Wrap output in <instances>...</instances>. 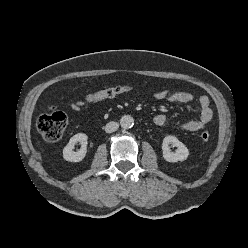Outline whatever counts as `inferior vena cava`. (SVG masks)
<instances>
[{
  "label": "inferior vena cava",
  "mask_w": 248,
  "mask_h": 248,
  "mask_svg": "<svg viewBox=\"0 0 248 248\" xmlns=\"http://www.w3.org/2000/svg\"><path fill=\"white\" fill-rule=\"evenodd\" d=\"M118 128H119V124L117 122L111 121L106 124L105 132L112 133V132H115Z\"/></svg>",
  "instance_id": "inferior-vena-cava-1"
}]
</instances>
